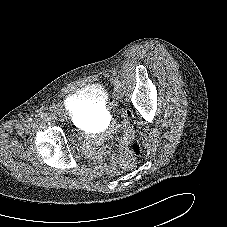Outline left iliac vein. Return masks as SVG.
I'll list each match as a JSON object with an SVG mask.
<instances>
[{
	"label": "left iliac vein",
	"mask_w": 227,
	"mask_h": 227,
	"mask_svg": "<svg viewBox=\"0 0 227 227\" xmlns=\"http://www.w3.org/2000/svg\"><path fill=\"white\" fill-rule=\"evenodd\" d=\"M115 93H116L118 96L122 97V93H121V90H120L119 87H115Z\"/></svg>",
	"instance_id": "left-iliac-vein-1"
}]
</instances>
